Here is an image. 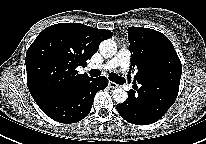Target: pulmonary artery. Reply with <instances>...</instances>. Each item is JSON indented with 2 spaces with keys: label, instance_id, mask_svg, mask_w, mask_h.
I'll return each instance as SVG.
<instances>
[{
  "label": "pulmonary artery",
  "instance_id": "pulmonary-artery-1",
  "mask_svg": "<svg viewBox=\"0 0 206 144\" xmlns=\"http://www.w3.org/2000/svg\"><path fill=\"white\" fill-rule=\"evenodd\" d=\"M129 64H130V52L127 49L122 48L119 50V52L114 58H112L102 66H99L98 68L111 70L120 67L121 69L126 70Z\"/></svg>",
  "mask_w": 206,
  "mask_h": 144
}]
</instances>
